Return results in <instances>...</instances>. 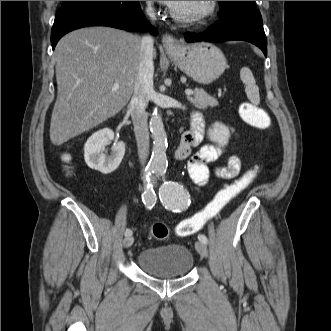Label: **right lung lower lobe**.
<instances>
[{"instance_id": "right-lung-lower-lobe-1", "label": "right lung lower lobe", "mask_w": 331, "mask_h": 331, "mask_svg": "<svg viewBox=\"0 0 331 331\" xmlns=\"http://www.w3.org/2000/svg\"><path fill=\"white\" fill-rule=\"evenodd\" d=\"M88 26H109L128 31L152 30L138 1H85L57 11L51 32L52 48L66 33Z\"/></svg>"}]
</instances>
